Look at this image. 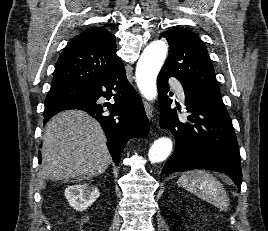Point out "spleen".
<instances>
[{
    "instance_id": "3e777b00",
    "label": "spleen",
    "mask_w": 268,
    "mask_h": 231,
    "mask_svg": "<svg viewBox=\"0 0 268 231\" xmlns=\"http://www.w3.org/2000/svg\"><path fill=\"white\" fill-rule=\"evenodd\" d=\"M178 184L220 210L228 209L229 199L223 185L209 172L204 170L186 172L179 178Z\"/></svg>"
}]
</instances>
